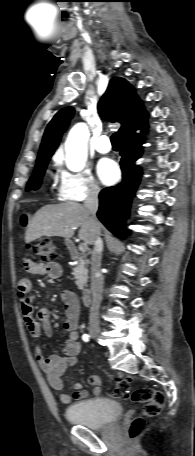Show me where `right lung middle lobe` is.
I'll return each instance as SVG.
<instances>
[{"instance_id":"obj_1","label":"right lung middle lobe","mask_w":195,"mask_h":456,"mask_svg":"<svg viewBox=\"0 0 195 456\" xmlns=\"http://www.w3.org/2000/svg\"><path fill=\"white\" fill-rule=\"evenodd\" d=\"M50 159V157H47V158H43L41 160H39L35 166V169H34V172H33V175L32 177L30 178L28 184H27V191L29 190H37L40 185H41V181H42V177L45 173V170H46V167H47V163H48V160Z\"/></svg>"}]
</instances>
